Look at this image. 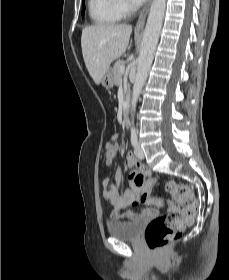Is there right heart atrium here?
Masks as SVG:
<instances>
[{"mask_svg": "<svg viewBox=\"0 0 229 280\" xmlns=\"http://www.w3.org/2000/svg\"><path fill=\"white\" fill-rule=\"evenodd\" d=\"M122 16L129 15L134 9L135 4L133 0H115Z\"/></svg>", "mask_w": 229, "mask_h": 280, "instance_id": "1", "label": "right heart atrium"}]
</instances>
